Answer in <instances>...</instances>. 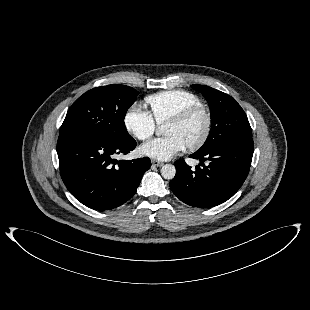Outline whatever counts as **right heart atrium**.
Wrapping results in <instances>:
<instances>
[{"instance_id": "d8ad5b80", "label": "right heart atrium", "mask_w": 310, "mask_h": 310, "mask_svg": "<svg viewBox=\"0 0 310 310\" xmlns=\"http://www.w3.org/2000/svg\"><path fill=\"white\" fill-rule=\"evenodd\" d=\"M125 129L136 139L144 141L150 138L155 130L156 123L150 114L143 111L138 105H131L124 114Z\"/></svg>"}]
</instances>
